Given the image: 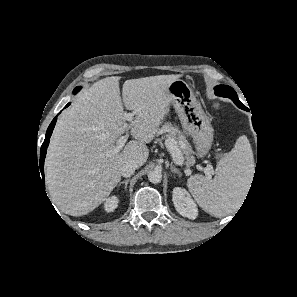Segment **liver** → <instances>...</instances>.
I'll return each mask as SVG.
<instances>
[{
	"label": "liver",
	"instance_id": "liver-1",
	"mask_svg": "<svg viewBox=\"0 0 297 297\" xmlns=\"http://www.w3.org/2000/svg\"><path fill=\"white\" fill-rule=\"evenodd\" d=\"M180 75L126 80L120 96V77H107L86 89L60 116L45 161L51 201L71 216L86 215L109 196L120 181L126 161L142 166L150 143L169 112L168 86ZM123 102V103H122ZM123 104L136 111L126 122ZM130 130L135 140L112 153L116 139Z\"/></svg>",
	"mask_w": 297,
	"mask_h": 297
}]
</instances>
